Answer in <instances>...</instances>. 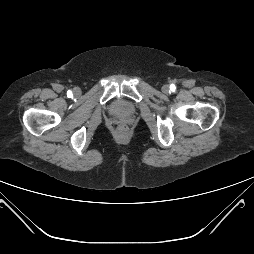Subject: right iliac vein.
I'll use <instances>...</instances> for the list:
<instances>
[{"instance_id":"1","label":"right iliac vein","mask_w":254,"mask_h":254,"mask_svg":"<svg viewBox=\"0 0 254 254\" xmlns=\"http://www.w3.org/2000/svg\"><path fill=\"white\" fill-rule=\"evenodd\" d=\"M79 93H80V90H79L78 88H75V89H74V94H75V95H79Z\"/></svg>"}]
</instances>
